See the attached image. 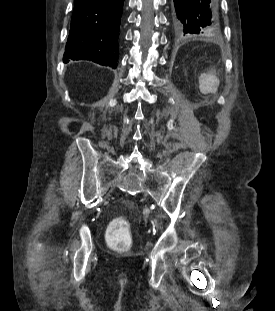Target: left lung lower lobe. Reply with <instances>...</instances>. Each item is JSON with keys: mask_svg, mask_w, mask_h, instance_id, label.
<instances>
[{"mask_svg": "<svg viewBox=\"0 0 275 311\" xmlns=\"http://www.w3.org/2000/svg\"><path fill=\"white\" fill-rule=\"evenodd\" d=\"M172 22L176 37L216 32V0H173Z\"/></svg>", "mask_w": 275, "mask_h": 311, "instance_id": "0a47b994", "label": "left lung lower lobe"}]
</instances>
